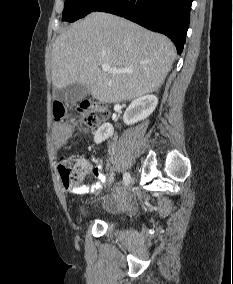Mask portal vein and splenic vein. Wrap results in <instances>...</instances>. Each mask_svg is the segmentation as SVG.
<instances>
[{
	"mask_svg": "<svg viewBox=\"0 0 233 284\" xmlns=\"http://www.w3.org/2000/svg\"><path fill=\"white\" fill-rule=\"evenodd\" d=\"M101 68L103 71H107V72H114V73H125V72H130L129 69H113L111 68V66L109 64H102Z\"/></svg>",
	"mask_w": 233,
	"mask_h": 284,
	"instance_id": "obj_1",
	"label": "portal vein and splenic vein"
}]
</instances>
